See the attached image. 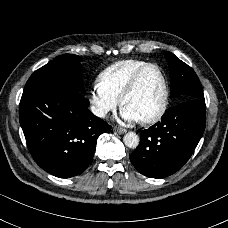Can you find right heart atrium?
Here are the masks:
<instances>
[{
  "mask_svg": "<svg viewBox=\"0 0 228 228\" xmlns=\"http://www.w3.org/2000/svg\"><path fill=\"white\" fill-rule=\"evenodd\" d=\"M89 102L94 113L100 117L104 118L109 112L116 109L119 101L104 92L98 82H94L89 95Z\"/></svg>",
  "mask_w": 228,
  "mask_h": 228,
  "instance_id": "obj_1",
  "label": "right heart atrium"
}]
</instances>
